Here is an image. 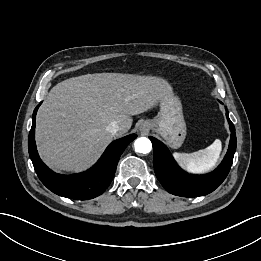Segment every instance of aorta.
I'll return each instance as SVG.
<instances>
[{"instance_id": "1", "label": "aorta", "mask_w": 261, "mask_h": 261, "mask_svg": "<svg viewBox=\"0 0 261 261\" xmlns=\"http://www.w3.org/2000/svg\"><path fill=\"white\" fill-rule=\"evenodd\" d=\"M135 151L142 153V154H147L151 151L152 149V143L151 141L146 138V137H140L136 139L134 143Z\"/></svg>"}]
</instances>
